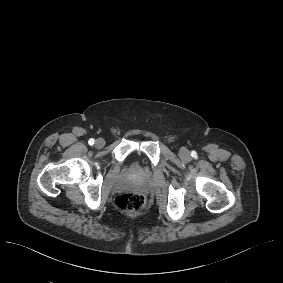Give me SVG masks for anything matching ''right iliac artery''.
Masks as SVG:
<instances>
[{"mask_svg": "<svg viewBox=\"0 0 283 283\" xmlns=\"http://www.w3.org/2000/svg\"><path fill=\"white\" fill-rule=\"evenodd\" d=\"M89 145H93L95 143V140L93 138L89 139L88 141Z\"/></svg>", "mask_w": 283, "mask_h": 283, "instance_id": "82829eb1", "label": "right iliac artery"}]
</instances>
